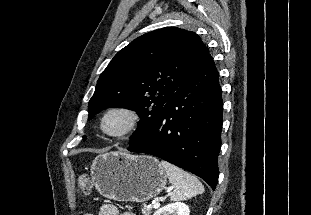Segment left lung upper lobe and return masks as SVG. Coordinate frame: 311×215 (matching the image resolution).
<instances>
[{
	"label": "left lung upper lobe",
	"instance_id": "left-lung-upper-lobe-1",
	"mask_svg": "<svg viewBox=\"0 0 311 215\" xmlns=\"http://www.w3.org/2000/svg\"><path fill=\"white\" fill-rule=\"evenodd\" d=\"M205 45L191 31L168 27L146 33L120 50L97 82L89 120L107 107L136 111L141 121L132 145L191 72Z\"/></svg>",
	"mask_w": 311,
	"mask_h": 215
}]
</instances>
